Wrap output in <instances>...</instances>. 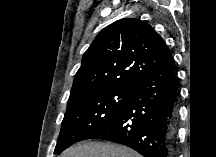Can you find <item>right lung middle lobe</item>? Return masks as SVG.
Wrapping results in <instances>:
<instances>
[{
    "label": "right lung middle lobe",
    "instance_id": "dd1d6c3e",
    "mask_svg": "<svg viewBox=\"0 0 216 157\" xmlns=\"http://www.w3.org/2000/svg\"><path fill=\"white\" fill-rule=\"evenodd\" d=\"M132 86L88 92L67 105L54 153L90 139L108 125L126 106Z\"/></svg>",
    "mask_w": 216,
    "mask_h": 157
}]
</instances>
